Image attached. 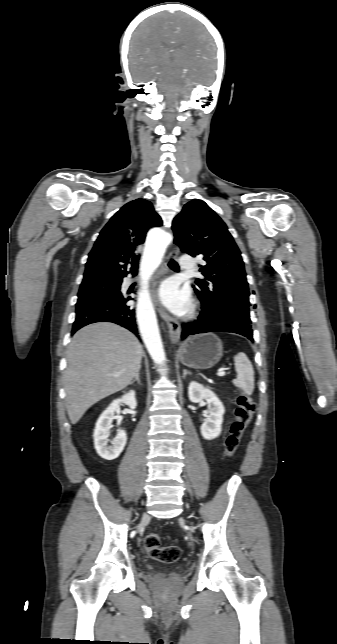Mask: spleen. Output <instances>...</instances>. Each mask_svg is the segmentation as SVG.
Segmentation results:
<instances>
[{
  "label": "spleen",
  "instance_id": "3e777b00",
  "mask_svg": "<svg viewBox=\"0 0 337 644\" xmlns=\"http://www.w3.org/2000/svg\"><path fill=\"white\" fill-rule=\"evenodd\" d=\"M237 378L233 380L236 387L241 388L247 395L254 391V370L245 353L240 352L234 356Z\"/></svg>",
  "mask_w": 337,
  "mask_h": 644
}]
</instances>
